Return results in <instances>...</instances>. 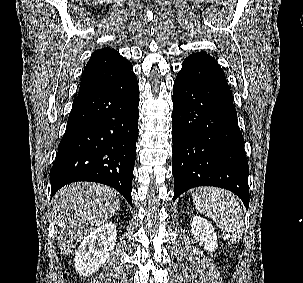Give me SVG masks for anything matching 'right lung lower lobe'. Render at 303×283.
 Wrapping results in <instances>:
<instances>
[{
	"label": "right lung lower lobe",
	"instance_id": "98d812e1",
	"mask_svg": "<svg viewBox=\"0 0 303 283\" xmlns=\"http://www.w3.org/2000/svg\"><path fill=\"white\" fill-rule=\"evenodd\" d=\"M138 105L134 73L74 99L50 171L51 196L66 184L91 181L115 188L132 206Z\"/></svg>",
	"mask_w": 303,
	"mask_h": 283
}]
</instances>
